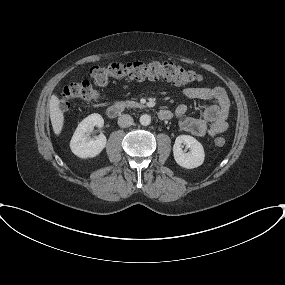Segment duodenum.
Returning a JSON list of instances; mask_svg holds the SVG:
<instances>
[{
  "instance_id": "410a0bca",
  "label": "duodenum",
  "mask_w": 285,
  "mask_h": 285,
  "mask_svg": "<svg viewBox=\"0 0 285 285\" xmlns=\"http://www.w3.org/2000/svg\"><path fill=\"white\" fill-rule=\"evenodd\" d=\"M105 112L108 118L115 119L123 114L124 107L120 104H112L106 108ZM158 117L161 120H168L172 117V113L167 109H161L158 112Z\"/></svg>"
}]
</instances>
